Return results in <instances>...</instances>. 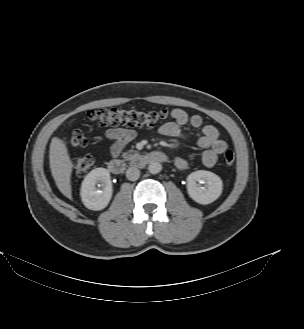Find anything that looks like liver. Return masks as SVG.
Instances as JSON below:
<instances>
[{
	"mask_svg": "<svg viewBox=\"0 0 304 329\" xmlns=\"http://www.w3.org/2000/svg\"><path fill=\"white\" fill-rule=\"evenodd\" d=\"M49 163L51 174L60 192L72 199L71 174L73 164L63 140L53 137L50 143Z\"/></svg>",
	"mask_w": 304,
	"mask_h": 329,
	"instance_id": "obj_1",
	"label": "liver"
}]
</instances>
